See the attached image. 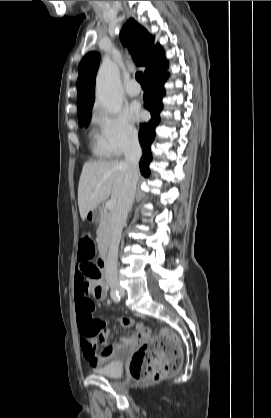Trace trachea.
Masks as SVG:
<instances>
[{
  "label": "trachea",
  "mask_w": 271,
  "mask_h": 418,
  "mask_svg": "<svg viewBox=\"0 0 271 418\" xmlns=\"http://www.w3.org/2000/svg\"><path fill=\"white\" fill-rule=\"evenodd\" d=\"M136 80L141 84V86H144V76L142 72L136 73Z\"/></svg>",
  "instance_id": "trachea-1"
}]
</instances>
